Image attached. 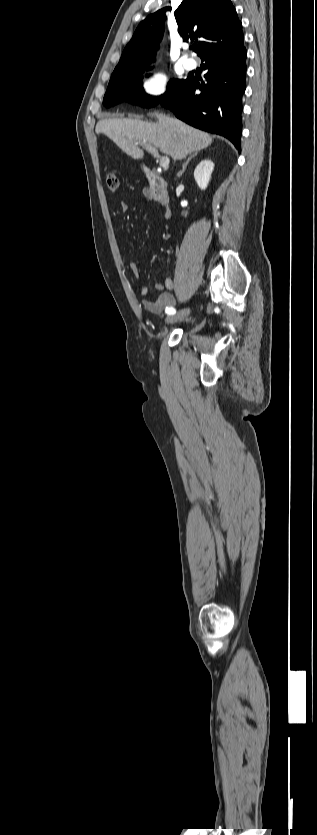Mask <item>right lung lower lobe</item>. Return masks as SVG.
<instances>
[{
	"instance_id": "1",
	"label": "right lung lower lobe",
	"mask_w": 317,
	"mask_h": 835,
	"mask_svg": "<svg viewBox=\"0 0 317 835\" xmlns=\"http://www.w3.org/2000/svg\"><path fill=\"white\" fill-rule=\"evenodd\" d=\"M206 83L189 82L159 104L184 122L228 138L240 152L242 95L246 89L247 51L243 37L218 44L201 56ZM195 90L201 94L196 95Z\"/></svg>"
}]
</instances>
